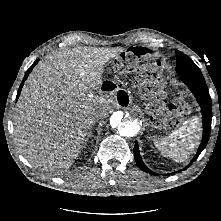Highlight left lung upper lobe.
I'll list each match as a JSON object with an SVG mask.
<instances>
[{
    "label": "left lung upper lobe",
    "mask_w": 221,
    "mask_h": 221,
    "mask_svg": "<svg viewBox=\"0 0 221 221\" xmlns=\"http://www.w3.org/2000/svg\"><path fill=\"white\" fill-rule=\"evenodd\" d=\"M177 65L176 71L181 74H202L198 66L185 54L176 50Z\"/></svg>",
    "instance_id": "1"
}]
</instances>
